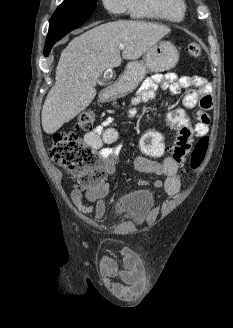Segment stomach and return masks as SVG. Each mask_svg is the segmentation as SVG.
Masks as SVG:
<instances>
[{
  "label": "stomach",
  "mask_w": 233,
  "mask_h": 328,
  "mask_svg": "<svg viewBox=\"0 0 233 328\" xmlns=\"http://www.w3.org/2000/svg\"><path fill=\"white\" fill-rule=\"evenodd\" d=\"M178 60V50L172 43L168 41L156 43L147 50L142 61H131L127 64L111 98L116 99L127 95L136 89L149 71L170 70L175 67Z\"/></svg>",
  "instance_id": "0dacf381"
}]
</instances>
